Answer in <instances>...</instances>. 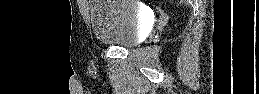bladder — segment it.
Masks as SVG:
<instances>
[{
    "label": "bladder",
    "mask_w": 259,
    "mask_h": 94,
    "mask_svg": "<svg viewBox=\"0 0 259 94\" xmlns=\"http://www.w3.org/2000/svg\"><path fill=\"white\" fill-rule=\"evenodd\" d=\"M92 30L105 45L131 48L141 40L145 20L134 2L94 0L89 7Z\"/></svg>",
    "instance_id": "bladder-1"
}]
</instances>
